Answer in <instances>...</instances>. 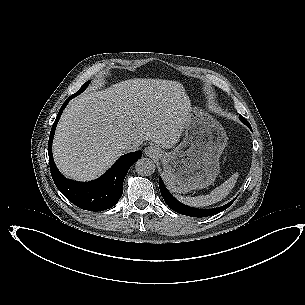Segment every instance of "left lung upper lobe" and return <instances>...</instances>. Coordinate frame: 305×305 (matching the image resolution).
Wrapping results in <instances>:
<instances>
[{
  "mask_svg": "<svg viewBox=\"0 0 305 305\" xmlns=\"http://www.w3.org/2000/svg\"><path fill=\"white\" fill-rule=\"evenodd\" d=\"M240 120L247 125L249 128L251 127L249 122L240 115ZM177 213L187 215L190 217H207V210L206 209H196L192 207H188L184 204L178 203L177 204Z\"/></svg>",
  "mask_w": 305,
  "mask_h": 305,
  "instance_id": "5c2ea615",
  "label": "left lung upper lobe"
}]
</instances>
